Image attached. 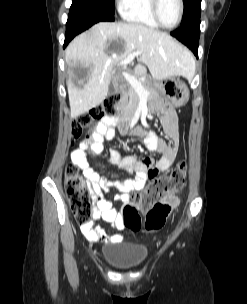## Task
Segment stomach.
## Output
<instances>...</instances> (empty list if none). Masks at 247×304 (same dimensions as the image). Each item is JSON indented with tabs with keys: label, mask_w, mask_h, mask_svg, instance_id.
I'll use <instances>...</instances> for the list:
<instances>
[{
	"label": "stomach",
	"mask_w": 247,
	"mask_h": 304,
	"mask_svg": "<svg viewBox=\"0 0 247 304\" xmlns=\"http://www.w3.org/2000/svg\"><path fill=\"white\" fill-rule=\"evenodd\" d=\"M161 94L170 102L173 107H181L189 99L187 85L179 78H173L169 83L160 85Z\"/></svg>",
	"instance_id": "stomach-1"
}]
</instances>
